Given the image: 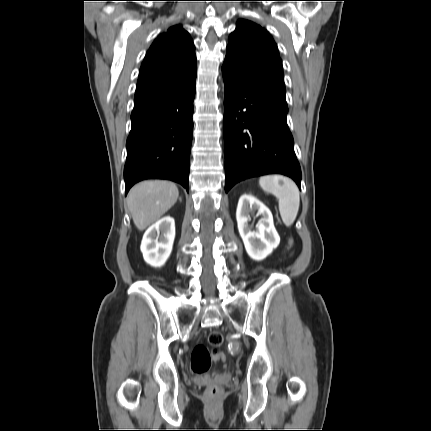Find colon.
Listing matches in <instances>:
<instances>
[{"mask_svg": "<svg viewBox=\"0 0 431 431\" xmlns=\"http://www.w3.org/2000/svg\"><path fill=\"white\" fill-rule=\"evenodd\" d=\"M291 243V242H290ZM285 255V252H282ZM223 343V336L219 331H211L207 336V345L198 344L194 347L191 355V370L195 375L206 374L211 365L219 366V363H225V355L219 354L217 349ZM221 392L218 385L212 384L206 390V395L209 398H216Z\"/></svg>", "mask_w": 431, "mask_h": 431, "instance_id": "obj_1", "label": "colon"}]
</instances>
